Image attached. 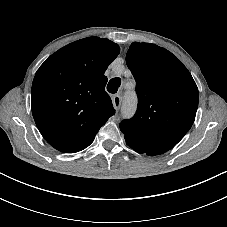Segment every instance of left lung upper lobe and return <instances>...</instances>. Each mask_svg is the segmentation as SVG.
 Segmentation results:
<instances>
[{"mask_svg":"<svg viewBox=\"0 0 227 227\" xmlns=\"http://www.w3.org/2000/svg\"><path fill=\"white\" fill-rule=\"evenodd\" d=\"M126 63L136 81L138 108L120 130L138 153L162 154L191 128L198 89L187 68L171 52L155 44H131Z\"/></svg>","mask_w":227,"mask_h":227,"instance_id":"1","label":"left lung upper lobe"}]
</instances>
